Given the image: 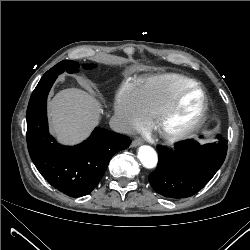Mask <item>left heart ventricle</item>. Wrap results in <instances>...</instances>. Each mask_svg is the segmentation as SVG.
<instances>
[{
  "mask_svg": "<svg viewBox=\"0 0 250 250\" xmlns=\"http://www.w3.org/2000/svg\"><path fill=\"white\" fill-rule=\"evenodd\" d=\"M201 106L199 92H189L180 102L176 112L166 123V130L173 131L188 125L198 114Z\"/></svg>",
  "mask_w": 250,
  "mask_h": 250,
  "instance_id": "b2bd125f",
  "label": "left heart ventricle"
}]
</instances>
